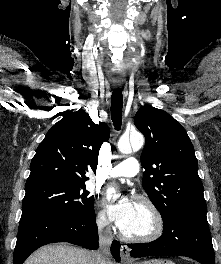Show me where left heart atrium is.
Wrapping results in <instances>:
<instances>
[{"instance_id":"obj_1","label":"left heart atrium","mask_w":221,"mask_h":264,"mask_svg":"<svg viewBox=\"0 0 221 264\" xmlns=\"http://www.w3.org/2000/svg\"><path fill=\"white\" fill-rule=\"evenodd\" d=\"M136 205L132 199L122 196L107 203V213L109 218L122 230L133 218Z\"/></svg>"}]
</instances>
